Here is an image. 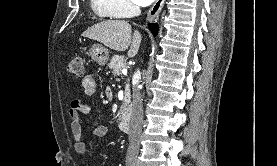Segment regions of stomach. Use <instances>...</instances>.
Instances as JSON below:
<instances>
[{
    "mask_svg": "<svg viewBox=\"0 0 277 166\" xmlns=\"http://www.w3.org/2000/svg\"><path fill=\"white\" fill-rule=\"evenodd\" d=\"M84 50L86 48H83ZM88 54L98 65L104 66L109 60V51L107 48L100 44H94L90 48Z\"/></svg>",
    "mask_w": 277,
    "mask_h": 166,
    "instance_id": "1",
    "label": "stomach"
}]
</instances>
